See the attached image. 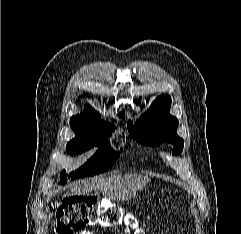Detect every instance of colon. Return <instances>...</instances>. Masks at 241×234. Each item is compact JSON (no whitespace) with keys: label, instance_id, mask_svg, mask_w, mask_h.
Returning <instances> with one entry per match:
<instances>
[{"label":"colon","instance_id":"obj_1","mask_svg":"<svg viewBox=\"0 0 241 234\" xmlns=\"http://www.w3.org/2000/svg\"><path fill=\"white\" fill-rule=\"evenodd\" d=\"M125 223L131 229H137L138 220L126 216L122 209L94 196H69L55 216L56 234H77L86 226L99 225L112 228Z\"/></svg>","mask_w":241,"mask_h":234}]
</instances>
